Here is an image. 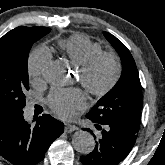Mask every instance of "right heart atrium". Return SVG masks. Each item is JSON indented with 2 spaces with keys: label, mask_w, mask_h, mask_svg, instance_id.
Listing matches in <instances>:
<instances>
[{
  "label": "right heart atrium",
  "mask_w": 165,
  "mask_h": 165,
  "mask_svg": "<svg viewBox=\"0 0 165 165\" xmlns=\"http://www.w3.org/2000/svg\"><path fill=\"white\" fill-rule=\"evenodd\" d=\"M50 61L51 53L46 47L39 46L34 49L28 61V72L30 77L35 81L43 78Z\"/></svg>",
  "instance_id": "d8ad5b80"
}]
</instances>
